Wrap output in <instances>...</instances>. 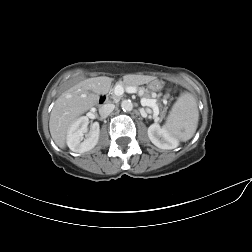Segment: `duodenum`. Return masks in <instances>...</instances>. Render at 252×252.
Returning a JSON list of instances; mask_svg holds the SVG:
<instances>
[{"label": "duodenum", "mask_w": 252, "mask_h": 252, "mask_svg": "<svg viewBox=\"0 0 252 252\" xmlns=\"http://www.w3.org/2000/svg\"><path fill=\"white\" fill-rule=\"evenodd\" d=\"M107 95H105V94H103V95H100V97H99V100H98V103L100 104V105H103V104H105L106 102H107Z\"/></svg>", "instance_id": "duodenum-1"}]
</instances>
